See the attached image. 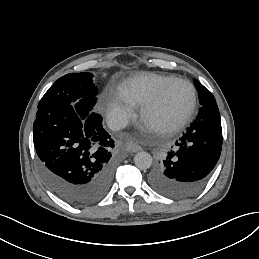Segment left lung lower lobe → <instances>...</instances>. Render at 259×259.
I'll return each mask as SVG.
<instances>
[{
	"label": "left lung lower lobe",
	"instance_id": "1",
	"mask_svg": "<svg viewBox=\"0 0 259 259\" xmlns=\"http://www.w3.org/2000/svg\"><path fill=\"white\" fill-rule=\"evenodd\" d=\"M163 164L149 175L157 193L184 199L198 193L207 183L222 149V128L218 106H202L187 132L175 143Z\"/></svg>",
	"mask_w": 259,
	"mask_h": 259
}]
</instances>
